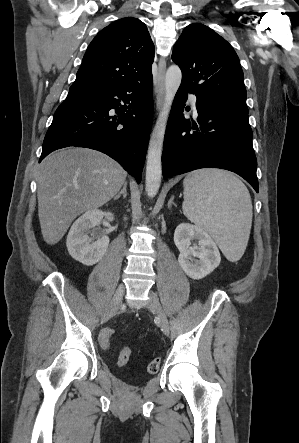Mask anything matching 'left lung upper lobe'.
I'll return each mask as SVG.
<instances>
[{
	"label": "left lung upper lobe",
	"instance_id": "left-lung-upper-lobe-1",
	"mask_svg": "<svg viewBox=\"0 0 299 443\" xmlns=\"http://www.w3.org/2000/svg\"><path fill=\"white\" fill-rule=\"evenodd\" d=\"M172 60L182 71V85L203 101L248 114L244 75L232 46L209 27L188 25L175 43Z\"/></svg>",
	"mask_w": 299,
	"mask_h": 443
}]
</instances>
